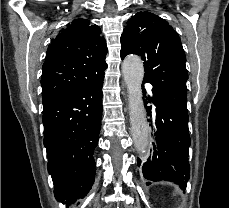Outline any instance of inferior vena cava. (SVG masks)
Returning a JSON list of instances; mask_svg holds the SVG:
<instances>
[{"label": "inferior vena cava", "mask_w": 229, "mask_h": 208, "mask_svg": "<svg viewBox=\"0 0 229 208\" xmlns=\"http://www.w3.org/2000/svg\"><path fill=\"white\" fill-rule=\"evenodd\" d=\"M132 130H133V132H135V130H137L136 126H135V128H132Z\"/></svg>", "instance_id": "1"}]
</instances>
